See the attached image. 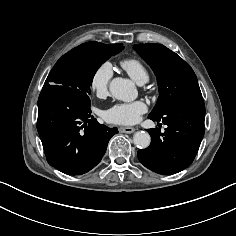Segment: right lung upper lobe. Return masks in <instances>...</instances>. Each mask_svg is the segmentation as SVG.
<instances>
[{
  "label": "right lung upper lobe",
  "instance_id": "right-lung-upper-lobe-1",
  "mask_svg": "<svg viewBox=\"0 0 236 236\" xmlns=\"http://www.w3.org/2000/svg\"><path fill=\"white\" fill-rule=\"evenodd\" d=\"M113 45H123V44H120V43H119V44H113Z\"/></svg>",
  "mask_w": 236,
  "mask_h": 236
}]
</instances>
